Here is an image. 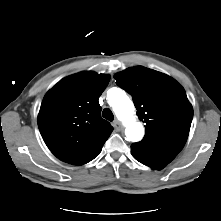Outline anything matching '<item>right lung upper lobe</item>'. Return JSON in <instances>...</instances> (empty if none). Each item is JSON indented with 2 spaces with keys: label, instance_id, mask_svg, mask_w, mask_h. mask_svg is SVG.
Returning <instances> with one entry per match:
<instances>
[{
  "label": "right lung upper lobe",
  "instance_id": "right-lung-upper-lobe-1",
  "mask_svg": "<svg viewBox=\"0 0 221 221\" xmlns=\"http://www.w3.org/2000/svg\"><path fill=\"white\" fill-rule=\"evenodd\" d=\"M109 80L108 74L82 72L62 79L45 95L38 127L58 159L82 165L101 151L113 131L98 101Z\"/></svg>",
  "mask_w": 221,
  "mask_h": 221
}]
</instances>
